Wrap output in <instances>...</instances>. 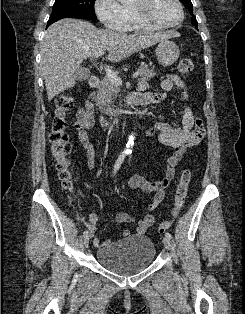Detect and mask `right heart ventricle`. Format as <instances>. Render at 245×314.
Segmentation results:
<instances>
[{"label": "right heart ventricle", "mask_w": 245, "mask_h": 314, "mask_svg": "<svg viewBox=\"0 0 245 314\" xmlns=\"http://www.w3.org/2000/svg\"><path fill=\"white\" fill-rule=\"evenodd\" d=\"M125 13H126V22L125 27L122 30L123 32H148L156 30L153 27L147 26L139 22L132 10V7H125Z\"/></svg>", "instance_id": "right-heart-ventricle-1"}]
</instances>
